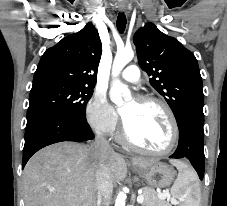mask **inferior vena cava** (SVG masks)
Returning <instances> with one entry per match:
<instances>
[{"instance_id": "obj_1", "label": "inferior vena cava", "mask_w": 227, "mask_h": 206, "mask_svg": "<svg viewBox=\"0 0 227 206\" xmlns=\"http://www.w3.org/2000/svg\"><path fill=\"white\" fill-rule=\"evenodd\" d=\"M94 148L102 157L113 152L111 145L103 137H96ZM97 197L94 206H109L113 192V182L104 164H100L96 171Z\"/></svg>"}]
</instances>
